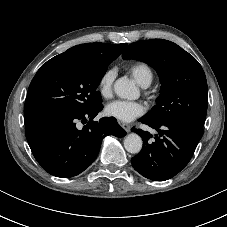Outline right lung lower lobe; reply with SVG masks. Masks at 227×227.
<instances>
[{
  "mask_svg": "<svg viewBox=\"0 0 227 227\" xmlns=\"http://www.w3.org/2000/svg\"><path fill=\"white\" fill-rule=\"evenodd\" d=\"M102 108L100 103L86 111L50 113L25 125L28 144L44 170L61 178L76 176L96 159L104 137L126 134L113 117L93 121ZM80 121L86 123L82 129Z\"/></svg>",
  "mask_w": 227,
  "mask_h": 227,
  "instance_id": "obj_1",
  "label": "right lung lower lobe"
}]
</instances>
